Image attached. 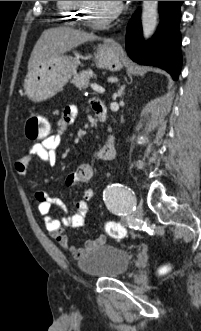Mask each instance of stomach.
I'll use <instances>...</instances> for the list:
<instances>
[{
  "mask_svg": "<svg viewBox=\"0 0 201 331\" xmlns=\"http://www.w3.org/2000/svg\"><path fill=\"white\" fill-rule=\"evenodd\" d=\"M97 66L118 71L123 66V54L115 46L100 44L94 56ZM80 64L79 58L59 55L48 61L37 70L27 74L24 88L28 97L41 102L53 97L70 80Z\"/></svg>",
  "mask_w": 201,
  "mask_h": 331,
  "instance_id": "1",
  "label": "stomach"
}]
</instances>
